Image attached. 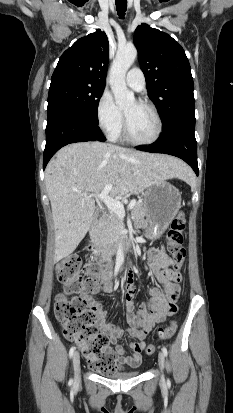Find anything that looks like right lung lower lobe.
Masks as SVG:
<instances>
[{"mask_svg":"<svg viewBox=\"0 0 233 413\" xmlns=\"http://www.w3.org/2000/svg\"><path fill=\"white\" fill-rule=\"evenodd\" d=\"M96 140L105 141L98 123L68 111L50 113L47 117L43 169L51 157L63 146L75 142Z\"/></svg>","mask_w":233,"mask_h":413,"instance_id":"1","label":"right lung lower lobe"}]
</instances>
